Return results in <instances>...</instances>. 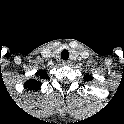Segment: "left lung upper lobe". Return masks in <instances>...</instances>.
<instances>
[{
    "label": "left lung upper lobe",
    "mask_w": 124,
    "mask_h": 124,
    "mask_svg": "<svg viewBox=\"0 0 124 124\" xmlns=\"http://www.w3.org/2000/svg\"><path fill=\"white\" fill-rule=\"evenodd\" d=\"M84 80H85V81H91V80H93V78H92L88 73H86V74L84 75Z\"/></svg>",
    "instance_id": "obj_1"
}]
</instances>
